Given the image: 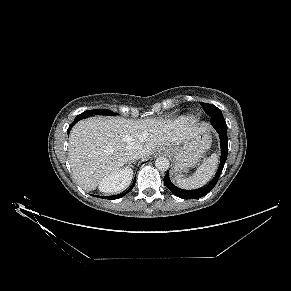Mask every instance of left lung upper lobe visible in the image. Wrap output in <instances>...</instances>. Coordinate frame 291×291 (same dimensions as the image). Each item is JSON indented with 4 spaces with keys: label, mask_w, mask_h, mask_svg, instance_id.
Wrapping results in <instances>:
<instances>
[{
    "label": "left lung upper lobe",
    "mask_w": 291,
    "mask_h": 291,
    "mask_svg": "<svg viewBox=\"0 0 291 291\" xmlns=\"http://www.w3.org/2000/svg\"><path fill=\"white\" fill-rule=\"evenodd\" d=\"M201 105L203 106L204 110L207 112V114L211 117V119H224L222 112L219 108H217L216 106L212 105V104H208V103H201ZM182 195L186 198V199H191L192 195L189 191H183Z\"/></svg>",
    "instance_id": "left-lung-upper-lobe-1"
}]
</instances>
